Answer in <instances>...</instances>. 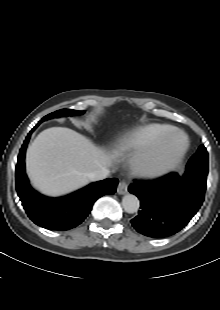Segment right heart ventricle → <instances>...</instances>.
Wrapping results in <instances>:
<instances>
[{
	"label": "right heart ventricle",
	"instance_id": "right-heart-ventricle-1",
	"mask_svg": "<svg viewBox=\"0 0 220 310\" xmlns=\"http://www.w3.org/2000/svg\"><path fill=\"white\" fill-rule=\"evenodd\" d=\"M172 128L171 126L159 123L144 125L121 138L117 143V149L121 152L147 150L154 146Z\"/></svg>",
	"mask_w": 220,
	"mask_h": 310
}]
</instances>
